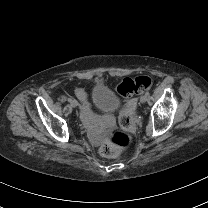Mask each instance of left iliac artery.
Wrapping results in <instances>:
<instances>
[{
  "label": "left iliac artery",
  "instance_id": "1",
  "mask_svg": "<svg viewBox=\"0 0 208 208\" xmlns=\"http://www.w3.org/2000/svg\"><path fill=\"white\" fill-rule=\"evenodd\" d=\"M145 95H146V96H149V95H150V93L147 91V92L145 93Z\"/></svg>",
  "mask_w": 208,
  "mask_h": 208
}]
</instances>
